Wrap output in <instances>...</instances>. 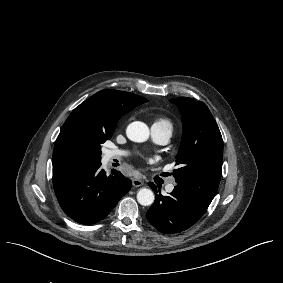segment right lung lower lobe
Wrapping results in <instances>:
<instances>
[{
    "label": "right lung lower lobe",
    "instance_id": "1",
    "mask_svg": "<svg viewBox=\"0 0 283 283\" xmlns=\"http://www.w3.org/2000/svg\"><path fill=\"white\" fill-rule=\"evenodd\" d=\"M100 166L101 162L54 185L61 208L78 223L94 224L104 219L131 188V180L119 171L107 176Z\"/></svg>",
    "mask_w": 283,
    "mask_h": 283
}]
</instances>
